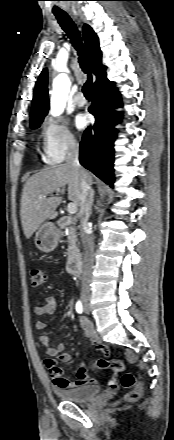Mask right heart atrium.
<instances>
[{"label": "right heart atrium", "instance_id": "right-heart-atrium-1", "mask_svg": "<svg viewBox=\"0 0 174 440\" xmlns=\"http://www.w3.org/2000/svg\"><path fill=\"white\" fill-rule=\"evenodd\" d=\"M41 128L43 157L48 164L63 161L69 152L78 148L76 136L63 121L47 117Z\"/></svg>", "mask_w": 174, "mask_h": 440}]
</instances>
